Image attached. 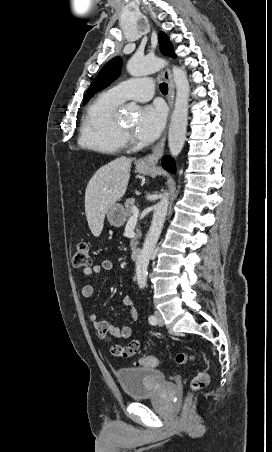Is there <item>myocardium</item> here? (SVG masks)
<instances>
[{"label":"myocardium","instance_id":"f54148a6","mask_svg":"<svg viewBox=\"0 0 272 452\" xmlns=\"http://www.w3.org/2000/svg\"><path fill=\"white\" fill-rule=\"evenodd\" d=\"M118 128L125 140L130 138V129L124 127L120 123H118Z\"/></svg>","mask_w":272,"mask_h":452}]
</instances>
